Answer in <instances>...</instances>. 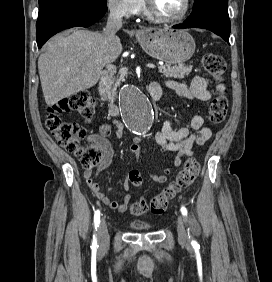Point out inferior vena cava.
<instances>
[{
    "label": "inferior vena cava",
    "mask_w": 272,
    "mask_h": 282,
    "mask_svg": "<svg viewBox=\"0 0 272 282\" xmlns=\"http://www.w3.org/2000/svg\"><path fill=\"white\" fill-rule=\"evenodd\" d=\"M109 10L105 34L109 40H112L116 32L122 27L123 16L115 4L110 5Z\"/></svg>",
    "instance_id": "1"
}]
</instances>
